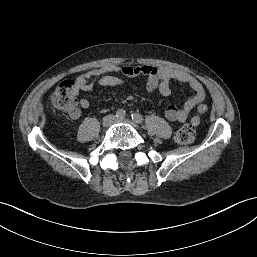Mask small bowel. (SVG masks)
Segmentation results:
<instances>
[{"label":"small bowel","instance_id":"c3829d8e","mask_svg":"<svg viewBox=\"0 0 257 257\" xmlns=\"http://www.w3.org/2000/svg\"><path fill=\"white\" fill-rule=\"evenodd\" d=\"M116 72L126 78L144 76L146 78V89L149 92H157L163 97L171 94V81H177L188 85L192 90V95L188 97L181 105L170 103L165 109V117L171 122H185L191 111L196 108L195 115L191 118V123L199 125L201 116L207 111L204 103L206 92L202 83L190 73L182 70L160 67L156 68L149 65L141 66H116L106 65L100 68L92 69L79 75L74 81V92L77 95L81 91H88L94 85L102 87H115L125 85V80L110 75ZM90 102L87 99H81L75 112H68L71 119H78L81 116L82 109H88Z\"/></svg>","mask_w":257,"mask_h":257}]
</instances>
